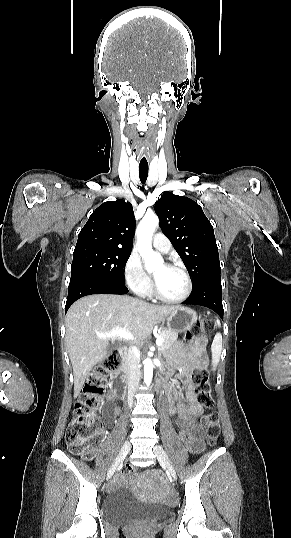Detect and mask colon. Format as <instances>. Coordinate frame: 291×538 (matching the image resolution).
I'll use <instances>...</instances> for the list:
<instances>
[{
  "label": "colon",
  "mask_w": 291,
  "mask_h": 538,
  "mask_svg": "<svg viewBox=\"0 0 291 538\" xmlns=\"http://www.w3.org/2000/svg\"><path fill=\"white\" fill-rule=\"evenodd\" d=\"M212 328L213 321L208 317H203L187 331L183 342L190 344L196 338L210 332ZM121 363V354L117 351L113 352L88 375L82 393L75 404L73 418L66 430V444L71 452L79 453L86 458H91L95 454L101 434L96 411L101 403L106 380L119 371ZM191 379L197 390L198 403L209 410L202 416L201 425L209 445H214L220 433L219 416L213 411L215 402L203 358L198 360L197 368L192 373ZM125 474L132 476L134 469H126Z\"/></svg>",
  "instance_id": "obj_1"
}]
</instances>
